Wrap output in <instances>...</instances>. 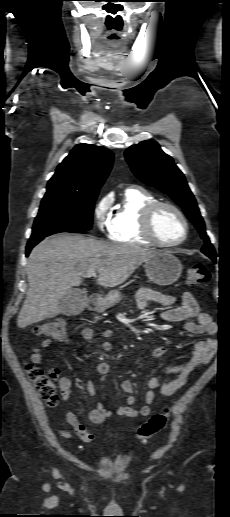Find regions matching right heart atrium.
I'll return each instance as SVG.
<instances>
[{
    "mask_svg": "<svg viewBox=\"0 0 230 517\" xmlns=\"http://www.w3.org/2000/svg\"><path fill=\"white\" fill-rule=\"evenodd\" d=\"M93 217L97 229L101 233L109 230L112 220V197L105 195L101 197L93 208Z\"/></svg>",
    "mask_w": 230,
    "mask_h": 517,
    "instance_id": "d8ad5b80",
    "label": "right heart atrium"
}]
</instances>
